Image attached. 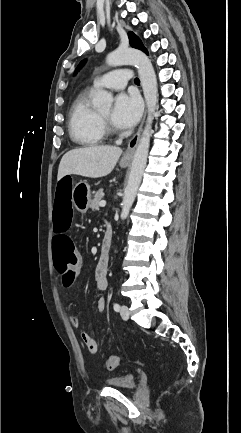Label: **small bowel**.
Masks as SVG:
<instances>
[{
    "instance_id": "1",
    "label": "small bowel",
    "mask_w": 241,
    "mask_h": 433,
    "mask_svg": "<svg viewBox=\"0 0 241 433\" xmlns=\"http://www.w3.org/2000/svg\"><path fill=\"white\" fill-rule=\"evenodd\" d=\"M109 261L108 258L100 256L96 267H95V281L96 288L99 291H105L108 287L109 281L107 277ZM106 307V300L101 297L97 301L98 312H103ZM70 323L73 327L78 328L80 326V320L77 316H70ZM81 339L87 347V350L91 354H95L98 351L97 341L87 332L81 333Z\"/></svg>"
}]
</instances>
